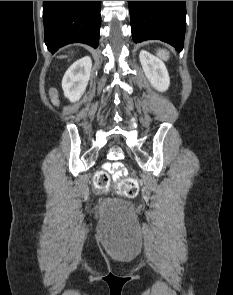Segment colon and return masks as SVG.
Returning <instances> with one entry per match:
<instances>
[{
	"mask_svg": "<svg viewBox=\"0 0 233 295\" xmlns=\"http://www.w3.org/2000/svg\"><path fill=\"white\" fill-rule=\"evenodd\" d=\"M110 183V176L106 171H97L93 177V185L97 190H105ZM139 182L135 177H127L118 186V193L126 198H133L138 194Z\"/></svg>",
	"mask_w": 233,
	"mask_h": 295,
	"instance_id": "5ec220e1",
	"label": "colon"
}]
</instances>
